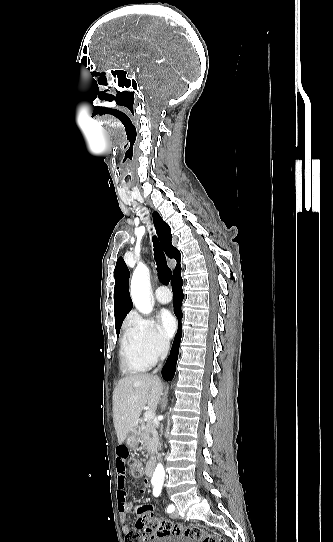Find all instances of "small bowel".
<instances>
[{
  "mask_svg": "<svg viewBox=\"0 0 333 542\" xmlns=\"http://www.w3.org/2000/svg\"><path fill=\"white\" fill-rule=\"evenodd\" d=\"M128 457V448L121 444L117 448V460H116V472H117V501H118V512L122 521H125L127 515L131 511V506L129 502V494L126 488V459ZM148 477H143L141 484L146 486L148 484ZM140 494L145 492L143 487L138 489ZM123 534L126 536V542L128 536L133 532V529L129 525H123L122 527Z\"/></svg>",
  "mask_w": 333,
  "mask_h": 542,
  "instance_id": "small-bowel-1",
  "label": "small bowel"
}]
</instances>
